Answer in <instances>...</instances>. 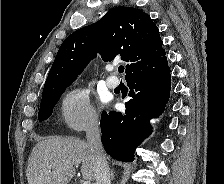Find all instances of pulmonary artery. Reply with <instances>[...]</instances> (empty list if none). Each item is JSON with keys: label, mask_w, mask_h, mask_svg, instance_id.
<instances>
[{"label": "pulmonary artery", "mask_w": 224, "mask_h": 184, "mask_svg": "<svg viewBox=\"0 0 224 184\" xmlns=\"http://www.w3.org/2000/svg\"><path fill=\"white\" fill-rule=\"evenodd\" d=\"M110 69L112 70L113 68H110ZM106 85L109 88L114 89L119 85V80L115 76H109L106 78Z\"/></svg>", "instance_id": "pulmonary-artery-1"}]
</instances>
